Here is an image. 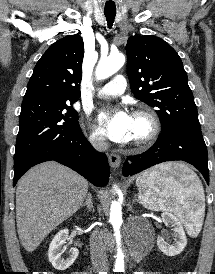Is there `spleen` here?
<instances>
[{"label":"spleen","mask_w":215,"mask_h":274,"mask_svg":"<svg viewBox=\"0 0 215 274\" xmlns=\"http://www.w3.org/2000/svg\"><path fill=\"white\" fill-rule=\"evenodd\" d=\"M139 200L148 209L174 213L186 227L202 219L205 194L197 175L187 166L161 164L144 171L136 180Z\"/></svg>","instance_id":"3e777b00"}]
</instances>
